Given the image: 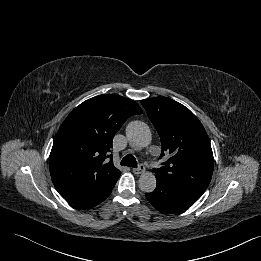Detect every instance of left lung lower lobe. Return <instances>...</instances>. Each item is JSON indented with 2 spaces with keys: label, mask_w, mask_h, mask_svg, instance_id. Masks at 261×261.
Returning <instances> with one entry per match:
<instances>
[{
  "label": "left lung lower lobe",
  "mask_w": 261,
  "mask_h": 261,
  "mask_svg": "<svg viewBox=\"0 0 261 261\" xmlns=\"http://www.w3.org/2000/svg\"><path fill=\"white\" fill-rule=\"evenodd\" d=\"M156 180L157 188L145 195L154 208L164 213L183 211L195 203L204 193L184 185Z\"/></svg>",
  "instance_id": "1"
}]
</instances>
